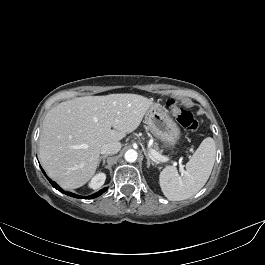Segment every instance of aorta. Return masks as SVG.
<instances>
[{
	"instance_id": "762f6f07",
	"label": "aorta",
	"mask_w": 265,
	"mask_h": 265,
	"mask_svg": "<svg viewBox=\"0 0 265 265\" xmlns=\"http://www.w3.org/2000/svg\"><path fill=\"white\" fill-rule=\"evenodd\" d=\"M137 157L138 153L133 149L126 151L124 155V158L127 162H135L137 160Z\"/></svg>"
}]
</instances>
